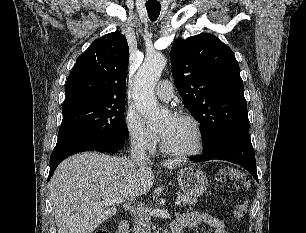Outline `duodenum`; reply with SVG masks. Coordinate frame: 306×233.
Segmentation results:
<instances>
[{
    "label": "duodenum",
    "instance_id": "obj_1",
    "mask_svg": "<svg viewBox=\"0 0 306 233\" xmlns=\"http://www.w3.org/2000/svg\"><path fill=\"white\" fill-rule=\"evenodd\" d=\"M172 233H182V227L178 224L172 225ZM118 233H130L129 224L127 220L123 219L119 222Z\"/></svg>",
    "mask_w": 306,
    "mask_h": 233
}]
</instances>
